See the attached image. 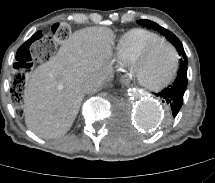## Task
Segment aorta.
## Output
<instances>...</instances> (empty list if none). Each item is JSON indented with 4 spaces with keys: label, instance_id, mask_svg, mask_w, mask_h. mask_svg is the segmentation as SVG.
<instances>
[{
    "label": "aorta",
    "instance_id": "1",
    "mask_svg": "<svg viewBox=\"0 0 215 183\" xmlns=\"http://www.w3.org/2000/svg\"><path fill=\"white\" fill-rule=\"evenodd\" d=\"M132 99H136L134 106L129 104L128 100L124 96H120L119 100L122 105L128 106L132 113L133 120L137 126L144 129H152L162 122L163 109L154 100L142 98L138 92L133 93Z\"/></svg>",
    "mask_w": 215,
    "mask_h": 183
}]
</instances>
